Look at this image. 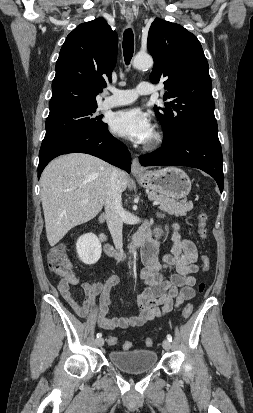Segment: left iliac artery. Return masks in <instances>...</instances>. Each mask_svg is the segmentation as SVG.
<instances>
[{"instance_id": "1", "label": "left iliac artery", "mask_w": 253, "mask_h": 413, "mask_svg": "<svg viewBox=\"0 0 253 413\" xmlns=\"http://www.w3.org/2000/svg\"><path fill=\"white\" fill-rule=\"evenodd\" d=\"M167 340H168L169 342H172V336H171L170 334L167 335Z\"/></svg>"}]
</instances>
